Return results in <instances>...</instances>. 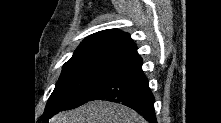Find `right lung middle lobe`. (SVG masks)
<instances>
[{"label":"right lung middle lobe","instance_id":"1","mask_svg":"<svg viewBox=\"0 0 221 123\" xmlns=\"http://www.w3.org/2000/svg\"><path fill=\"white\" fill-rule=\"evenodd\" d=\"M130 59L125 55L102 50L74 53L63 66L44 114L58 113L86 103L95 87Z\"/></svg>","mask_w":221,"mask_h":123}]
</instances>
